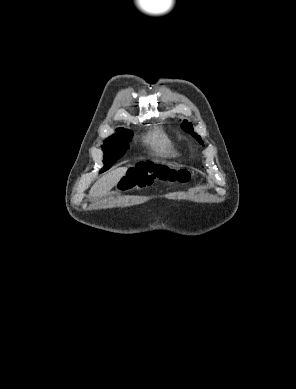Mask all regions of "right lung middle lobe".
Here are the masks:
<instances>
[{"mask_svg":"<svg viewBox=\"0 0 296 389\" xmlns=\"http://www.w3.org/2000/svg\"><path fill=\"white\" fill-rule=\"evenodd\" d=\"M133 132L128 129L119 128L117 133L104 141V167L101 172L108 170L117 159L122 157L129 148L128 143L131 140Z\"/></svg>","mask_w":296,"mask_h":389,"instance_id":"dd1d6c3e","label":"right lung middle lobe"}]
</instances>
